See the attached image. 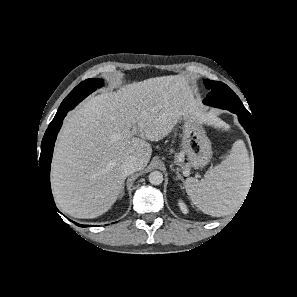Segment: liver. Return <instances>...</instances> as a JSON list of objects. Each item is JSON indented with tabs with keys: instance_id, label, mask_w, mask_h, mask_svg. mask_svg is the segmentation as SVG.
I'll return each instance as SVG.
<instances>
[{
	"instance_id": "6515ba94",
	"label": "liver",
	"mask_w": 297,
	"mask_h": 297,
	"mask_svg": "<svg viewBox=\"0 0 297 297\" xmlns=\"http://www.w3.org/2000/svg\"><path fill=\"white\" fill-rule=\"evenodd\" d=\"M185 118L205 122L204 109L179 75L150 78L86 100L70 112L58 136L51 166L58 207L75 218H96L116 202L134 158L144 169L148 141L166 137Z\"/></svg>"
}]
</instances>
